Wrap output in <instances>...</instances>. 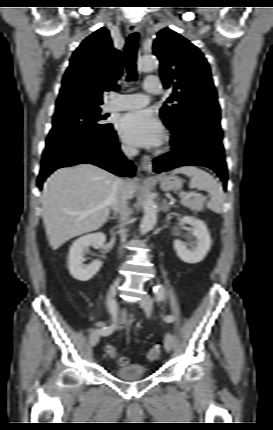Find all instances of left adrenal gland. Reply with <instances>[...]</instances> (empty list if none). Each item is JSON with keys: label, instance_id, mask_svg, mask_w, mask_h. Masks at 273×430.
<instances>
[{"label": "left adrenal gland", "instance_id": "left-adrenal-gland-1", "mask_svg": "<svg viewBox=\"0 0 273 430\" xmlns=\"http://www.w3.org/2000/svg\"><path fill=\"white\" fill-rule=\"evenodd\" d=\"M171 204L167 203L166 199L163 200L162 211L168 212L170 210Z\"/></svg>", "mask_w": 273, "mask_h": 430}]
</instances>
